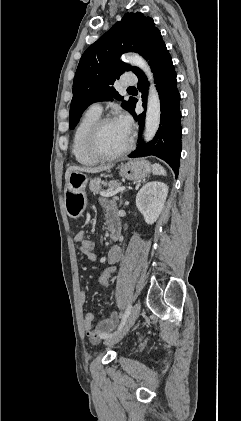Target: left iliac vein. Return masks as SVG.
<instances>
[{"label": "left iliac vein", "mask_w": 241, "mask_h": 421, "mask_svg": "<svg viewBox=\"0 0 241 421\" xmlns=\"http://www.w3.org/2000/svg\"><path fill=\"white\" fill-rule=\"evenodd\" d=\"M140 311H141V305L139 303H136L133 306L123 329L118 334L112 336L111 338L106 339L105 344L111 346L119 342L126 335L129 329L133 326V324L135 323V321L140 315Z\"/></svg>", "instance_id": "obj_1"}]
</instances>
